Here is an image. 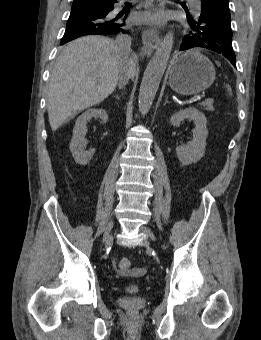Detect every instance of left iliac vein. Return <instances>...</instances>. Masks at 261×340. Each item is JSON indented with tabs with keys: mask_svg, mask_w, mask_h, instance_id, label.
I'll return each mask as SVG.
<instances>
[{
	"mask_svg": "<svg viewBox=\"0 0 261 340\" xmlns=\"http://www.w3.org/2000/svg\"><path fill=\"white\" fill-rule=\"evenodd\" d=\"M141 231H142L144 234H146L148 237H150L152 240H155V237H154L153 233H152L151 230L148 229L147 227L142 226V227H141Z\"/></svg>",
	"mask_w": 261,
	"mask_h": 340,
	"instance_id": "1",
	"label": "left iliac vein"
}]
</instances>
